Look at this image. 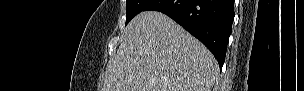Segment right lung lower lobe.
Listing matches in <instances>:
<instances>
[{"label": "right lung lower lobe", "instance_id": "obj_1", "mask_svg": "<svg viewBox=\"0 0 304 91\" xmlns=\"http://www.w3.org/2000/svg\"><path fill=\"white\" fill-rule=\"evenodd\" d=\"M162 12L199 39L222 68L234 20V0H152L143 11Z\"/></svg>", "mask_w": 304, "mask_h": 91}]
</instances>
